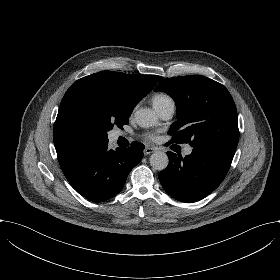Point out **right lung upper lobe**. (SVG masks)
<instances>
[{"instance_id":"obj_1","label":"right lung upper lobe","mask_w":280,"mask_h":280,"mask_svg":"<svg viewBox=\"0 0 280 280\" xmlns=\"http://www.w3.org/2000/svg\"><path fill=\"white\" fill-rule=\"evenodd\" d=\"M161 79L156 75L101 71L75 81L62 99L54 124L53 139L60 165L92 146L107 143L103 117L130 116Z\"/></svg>"}]
</instances>
